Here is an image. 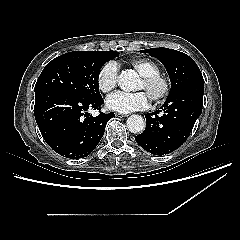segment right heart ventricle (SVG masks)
I'll use <instances>...</instances> for the list:
<instances>
[{
	"label": "right heart ventricle",
	"mask_w": 240,
	"mask_h": 240,
	"mask_svg": "<svg viewBox=\"0 0 240 240\" xmlns=\"http://www.w3.org/2000/svg\"><path fill=\"white\" fill-rule=\"evenodd\" d=\"M129 64L140 76L159 73L157 66L152 61L145 58H133L129 60Z\"/></svg>",
	"instance_id": "obj_1"
}]
</instances>
